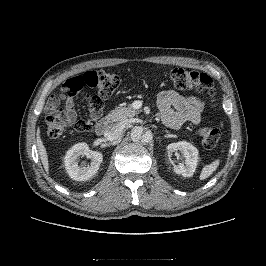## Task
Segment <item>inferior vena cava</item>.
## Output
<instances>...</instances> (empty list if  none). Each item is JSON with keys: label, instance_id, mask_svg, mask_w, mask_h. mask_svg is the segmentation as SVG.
Returning a JSON list of instances; mask_svg holds the SVG:
<instances>
[{"label": "inferior vena cava", "instance_id": "inferior-vena-cava-1", "mask_svg": "<svg viewBox=\"0 0 266 266\" xmlns=\"http://www.w3.org/2000/svg\"><path fill=\"white\" fill-rule=\"evenodd\" d=\"M123 132L122 123L110 124L104 132V137L109 141H114L118 139Z\"/></svg>", "mask_w": 266, "mask_h": 266}]
</instances>
